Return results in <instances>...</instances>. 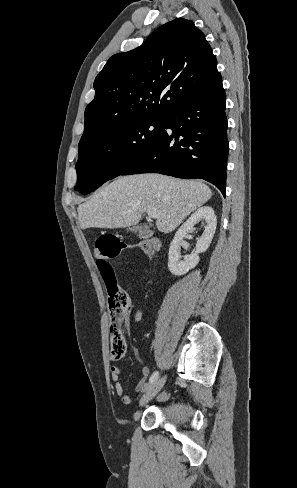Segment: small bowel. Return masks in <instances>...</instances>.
<instances>
[{
  "instance_id": "1",
  "label": "small bowel",
  "mask_w": 297,
  "mask_h": 488,
  "mask_svg": "<svg viewBox=\"0 0 297 488\" xmlns=\"http://www.w3.org/2000/svg\"><path fill=\"white\" fill-rule=\"evenodd\" d=\"M133 318L135 322L137 323L141 322L143 318L142 312L140 310H136L134 312ZM124 321L127 322L128 317H126ZM149 373L150 370L148 367H143L141 369V377L135 386V390L137 392L145 391V389L147 388V378L149 376ZM120 374H121V369L118 366L115 365L111 366L110 375H111V380L113 382L115 392L118 395V397L121 399L122 403L130 404L133 401V397L124 393L123 386L120 382Z\"/></svg>"
}]
</instances>
